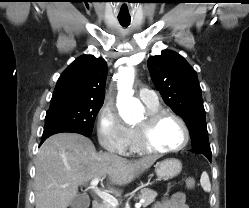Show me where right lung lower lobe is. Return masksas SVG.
Masks as SVG:
<instances>
[{
  "label": "right lung lower lobe",
  "instance_id": "right-lung-lower-lobe-1",
  "mask_svg": "<svg viewBox=\"0 0 249 208\" xmlns=\"http://www.w3.org/2000/svg\"><path fill=\"white\" fill-rule=\"evenodd\" d=\"M61 132H73V133H79L82 135H85L83 133L80 132H76V131H72V130H67V129H61V128H48V129H44L43 135H42V140L40 145L51 135L56 134V133H61ZM87 136V135H85Z\"/></svg>",
  "mask_w": 249,
  "mask_h": 208
}]
</instances>
